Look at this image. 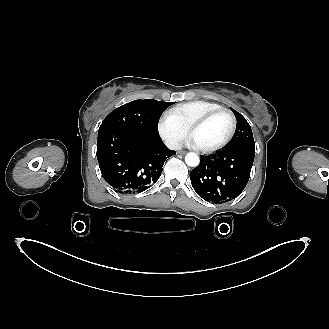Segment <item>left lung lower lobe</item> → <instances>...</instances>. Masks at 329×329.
Instances as JSON below:
<instances>
[{
  "label": "left lung lower lobe",
  "mask_w": 329,
  "mask_h": 329,
  "mask_svg": "<svg viewBox=\"0 0 329 329\" xmlns=\"http://www.w3.org/2000/svg\"><path fill=\"white\" fill-rule=\"evenodd\" d=\"M255 146L240 145L203 156L190 173L196 193L206 201L225 203L237 198L248 183Z\"/></svg>",
  "instance_id": "1"
}]
</instances>
